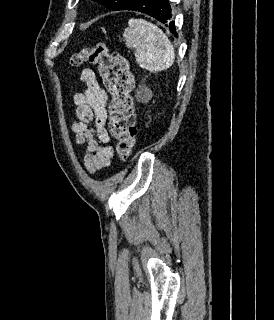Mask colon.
I'll use <instances>...</instances> for the list:
<instances>
[{"instance_id": "obj_1", "label": "colon", "mask_w": 274, "mask_h": 320, "mask_svg": "<svg viewBox=\"0 0 274 320\" xmlns=\"http://www.w3.org/2000/svg\"><path fill=\"white\" fill-rule=\"evenodd\" d=\"M90 63L98 67L100 77L111 97L109 106V129L115 140L116 152L122 159L133 153L136 137V119L131 96L133 76L128 62L118 52H112L104 43L87 46L74 53L69 61L71 67Z\"/></svg>"}]
</instances>
